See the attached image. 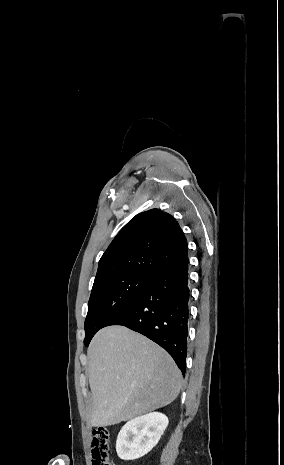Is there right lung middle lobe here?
<instances>
[{"mask_svg": "<svg viewBox=\"0 0 284 465\" xmlns=\"http://www.w3.org/2000/svg\"><path fill=\"white\" fill-rule=\"evenodd\" d=\"M152 279L140 274H124L94 283L84 324L85 346H88L95 333L142 292Z\"/></svg>", "mask_w": 284, "mask_h": 465, "instance_id": "obj_1", "label": "right lung middle lobe"}]
</instances>
